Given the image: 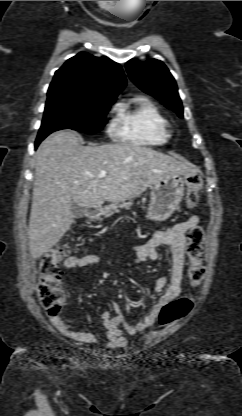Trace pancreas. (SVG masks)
<instances>
[{"label": "pancreas", "instance_id": "cf45deb5", "mask_svg": "<svg viewBox=\"0 0 242 416\" xmlns=\"http://www.w3.org/2000/svg\"><path fill=\"white\" fill-rule=\"evenodd\" d=\"M132 206V202H123L122 204L113 203L103 209V215L105 217H110L115 213L119 212V208L129 209Z\"/></svg>", "mask_w": 242, "mask_h": 416}]
</instances>
